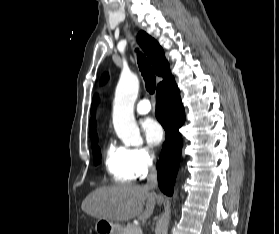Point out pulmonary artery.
<instances>
[{
	"instance_id": "e3ab8cb5",
	"label": "pulmonary artery",
	"mask_w": 279,
	"mask_h": 234,
	"mask_svg": "<svg viewBox=\"0 0 279 234\" xmlns=\"http://www.w3.org/2000/svg\"><path fill=\"white\" fill-rule=\"evenodd\" d=\"M151 111V103L148 99L140 100L136 105V112L140 115L148 114Z\"/></svg>"
}]
</instances>
